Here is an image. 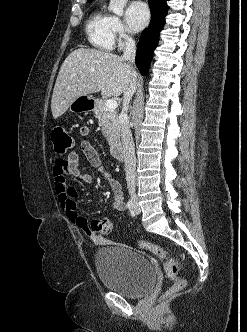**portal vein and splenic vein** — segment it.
I'll list each match as a JSON object with an SVG mask.
<instances>
[{"mask_svg":"<svg viewBox=\"0 0 247 332\" xmlns=\"http://www.w3.org/2000/svg\"><path fill=\"white\" fill-rule=\"evenodd\" d=\"M105 105L107 108H109L111 110L116 109L118 107V103L115 99L106 100Z\"/></svg>","mask_w":247,"mask_h":332,"instance_id":"18ae733b","label":"portal vein and splenic vein"}]
</instances>
